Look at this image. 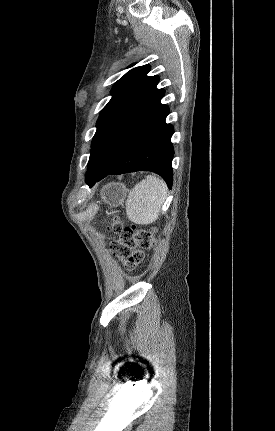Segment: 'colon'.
<instances>
[{
    "label": "colon",
    "instance_id": "1",
    "mask_svg": "<svg viewBox=\"0 0 275 431\" xmlns=\"http://www.w3.org/2000/svg\"><path fill=\"white\" fill-rule=\"evenodd\" d=\"M111 229L119 234V237L112 241L110 248L129 268L139 265L145 256V251L155 243L152 230L124 226L118 220L112 223Z\"/></svg>",
    "mask_w": 275,
    "mask_h": 431
}]
</instances>
